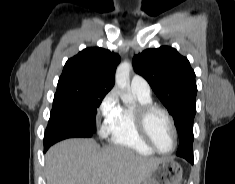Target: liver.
Masks as SVG:
<instances>
[{
	"label": "liver",
	"instance_id": "obj_1",
	"mask_svg": "<svg viewBox=\"0 0 235 184\" xmlns=\"http://www.w3.org/2000/svg\"><path fill=\"white\" fill-rule=\"evenodd\" d=\"M47 184H141L169 158L138 156L129 148H100L93 138L58 142L46 156Z\"/></svg>",
	"mask_w": 235,
	"mask_h": 184
}]
</instances>
